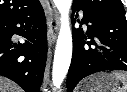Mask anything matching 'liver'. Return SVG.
Masks as SVG:
<instances>
[{"label":"liver","instance_id":"obj_1","mask_svg":"<svg viewBox=\"0 0 127 92\" xmlns=\"http://www.w3.org/2000/svg\"><path fill=\"white\" fill-rule=\"evenodd\" d=\"M0 92H23V90L11 80L0 76Z\"/></svg>","mask_w":127,"mask_h":92}]
</instances>
